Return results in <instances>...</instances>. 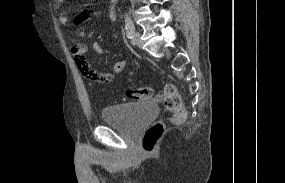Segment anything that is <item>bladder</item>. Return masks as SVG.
I'll list each match as a JSON object with an SVG mask.
<instances>
[{
  "label": "bladder",
  "instance_id": "31cf9c89",
  "mask_svg": "<svg viewBox=\"0 0 285 183\" xmlns=\"http://www.w3.org/2000/svg\"><path fill=\"white\" fill-rule=\"evenodd\" d=\"M158 114L151 102L125 103L106 106L101 112L105 124L116 125L130 134L140 133Z\"/></svg>",
  "mask_w": 285,
  "mask_h": 183
}]
</instances>
